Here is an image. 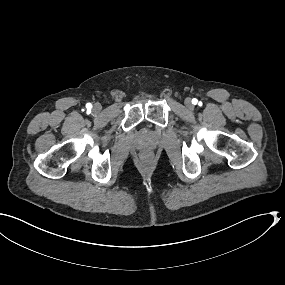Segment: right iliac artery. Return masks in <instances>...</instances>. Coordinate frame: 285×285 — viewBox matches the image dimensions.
Segmentation results:
<instances>
[{
  "instance_id": "82829eb1",
  "label": "right iliac artery",
  "mask_w": 285,
  "mask_h": 285,
  "mask_svg": "<svg viewBox=\"0 0 285 285\" xmlns=\"http://www.w3.org/2000/svg\"><path fill=\"white\" fill-rule=\"evenodd\" d=\"M86 106H87L88 108H92V105H91L90 103H88Z\"/></svg>"
}]
</instances>
